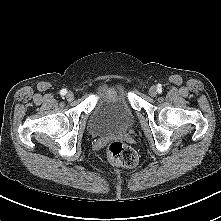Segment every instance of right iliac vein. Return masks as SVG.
Segmentation results:
<instances>
[{
  "mask_svg": "<svg viewBox=\"0 0 221 221\" xmlns=\"http://www.w3.org/2000/svg\"><path fill=\"white\" fill-rule=\"evenodd\" d=\"M66 99H67L68 101L73 100V99H74V94H73L72 92H67V94H66Z\"/></svg>",
  "mask_w": 221,
  "mask_h": 221,
  "instance_id": "right-iliac-vein-1",
  "label": "right iliac vein"
}]
</instances>
